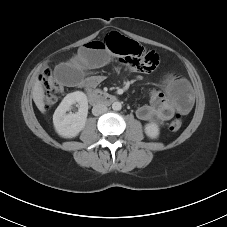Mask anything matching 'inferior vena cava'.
<instances>
[{"instance_id": "602c4592", "label": "inferior vena cava", "mask_w": 227, "mask_h": 227, "mask_svg": "<svg viewBox=\"0 0 227 227\" xmlns=\"http://www.w3.org/2000/svg\"><path fill=\"white\" fill-rule=\"evenodd\" d=\"M107 111V107L103 104H97L92 108V113L95 116L101 115Z\"/></svg>"}]
</instances>
